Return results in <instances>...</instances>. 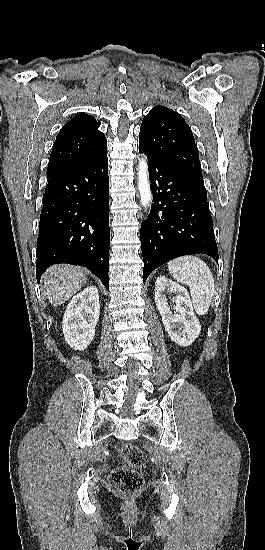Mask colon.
<instances>
[{"label": "colon", "mask_w": 265, "mask_h": 550, "mask_svg": "<svg viewBox=\"0 0 265 550\" xmlns=\"http://www.w3.org/2000/svg\"><path fill=\"white\" fill-rule=\"evenodd\" d=\"M123 464L113 469L108 478L110 489L118 494H131L143 486V477L138 471L145 464V456L136 445L124 444L120 448Z\"/></svg>", "instance_id": "1"}]
</instances>
